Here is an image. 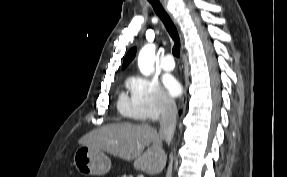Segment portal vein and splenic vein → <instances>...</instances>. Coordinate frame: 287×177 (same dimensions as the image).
Returning a JSON list of instances; mask_svg holds the SVG:
<instances>
[{
    "label": "portal vein and splenic vein",
    "mask_w": 287,
    "mask_h": 177,
    "mask_svg": "<svg viewBox=\"0 0 287 177\" xmlns=\"http://www.w3.org/2000/svg\"><path fill=\"white\" fill-rule=\"evenodd\" d=\"M138 177H144V175L140 174V175H138Z\"/></svg>",
    "instance_id": "portal-vein-and-splenic-vein-1"
}]
</instances>
